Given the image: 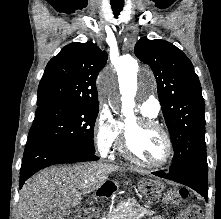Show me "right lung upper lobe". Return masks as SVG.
<instances>
[{"instance_id":"obj_1","label":"right lung upper lobe","mask_w":221,"mask_h":219,"mask_svg":"<svg viewBox=\"0 0 221 219\" xmlns=\"http://www.w3.org/2000/svg\"><path fill=\"white\" fill-rule=\"evenodd\" d=\"M106 62L107 53L92 42L68 44L47 64L39 83L37 104H99L96 78Z\"/></svg>"}]
</instances>
